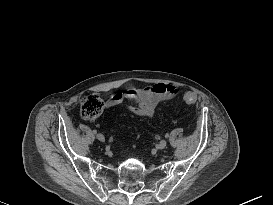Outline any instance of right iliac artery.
<instances>
[{
  "label": "right iliac artery",
  "mask_w": 273,
  "mask_h": 205,
  "mask_svg": "<svg viewBox=\"0 0 273 205\" xmlns=\"http://www.w3.org/2000/svg\"><path fill=\"white\" fill-rule=\"evenodd\" d=\"M93 133H94V134H96V133H97V131H96V130H93Z\"/></svg>",
  "instance_id": "right-iliac-artery-1"
}]
</instances>
